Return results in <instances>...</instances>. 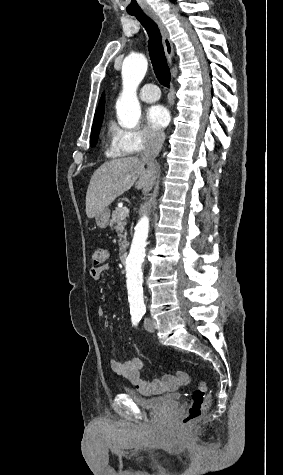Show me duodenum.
I'll list each match as a JSON object with an SVG mask.
<instances>
[{
  "mask_svg": "<svg viewBox=\"0 0 283 475\" xmlns=\"http://www.w3.org/2000/svg\"><path fill=\"white\" fill-rule=\"evenodd\" d=\"M127 258H128V253L127 252H122L120 254V260L123 264H125L127 262Z\"/></svg>",
  "mask_w": 283,
  "mask_h": 475,
  "instance_id": "duodenum-1",
  "label": "duodenum"
}]
</instances>
